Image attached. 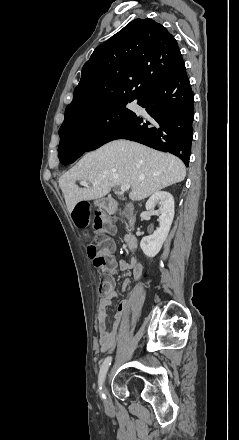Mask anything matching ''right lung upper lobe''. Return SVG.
<instances>
[{
	"instance_id": "right-lung-upper-lobe-1",
	"label": "right lung upper lobe",
	"mask_w": 239,
	"mask_h": 440,
	"mask_svg": "<svg viewBox=\"0 0 239 440\" xmlns=\"http://www.w3.org/2000/svg\"><path fill=\"white\" fill-rule=\"evenodd\" d=\"M181 60L177 41L164 26L151 19L133 20L84 64L65 120L117 97L138 98Z\"/></svg>"
}]
</instances>
